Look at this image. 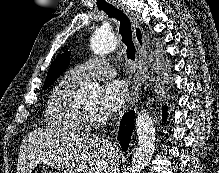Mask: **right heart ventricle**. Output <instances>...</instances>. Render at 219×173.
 <instances>
[{
  "instance_id": "obj_1",
  "label": "right heart ventricle",
  "mask_w": 219,
  "mask_h": 173,
  "mask_svg": "<svg viewBox=\"0 0 219 173\" xmlns=\"http://www.w3.org/2000/svg\"><path fill=\"white\" fill-rule=\"evenodd\" d=\"M80 84L66 76L52 89L45 109L47 124L54 130L75 133L86 130L89 119L75 102Z\"/></svg>"
}]
</instances>
